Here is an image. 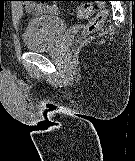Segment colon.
<instances>
[{"mask_svg":"<svg viewBox=\"0 0 135 161\" xmlns=\"http://www.w3.org/2000/svg\"><path fill=\"white\" fill-rule=\"evenodd\" d=\"M95 7L91 3L81 4L77 7L76 13L82 18H89L93 16ZM108 16V10L102 7L98 13H96L90 22L85 27V34H93L99 31L104 25Z\"/></svg>","mask_w":135,"mask_h":161,"instance_id":"5ec220e1","label":"colon"}]
</instances>
